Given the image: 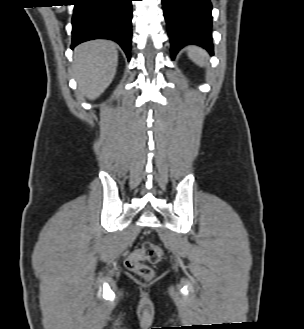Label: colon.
<instances>
[{"label": "colon", "mask_w": 304, "mask_h": 329, "mask_svg": "<svg viewBox=\"0 0 304 329\" xmlns=\"http://www.w3.org/2000/svg\"><path fill=\"white\" fill-rule=\"evenodd\" d=\"M163 258V251L160 247L151 242H144L142 246L133 251L125 260L128 270L136 273L143 279L149 280L153 277L154 271L151 266L143 263L148 261L151 264L160 262Z\"/></svg>", "instance_id": "5ec220e1"}]
</instances>
